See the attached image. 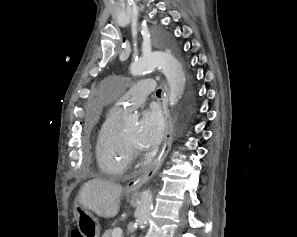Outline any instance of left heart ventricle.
<instances>
[{
	"label": "left heart ventricle",
	"mask_w": 297,
	"mask_h": 237,
	"mask_svg": "<svg viewBox=\"0 0 297 237\" xmlns=\"http://www.w3.org/2000/svg\"><path fill=\"white\" fill-rule=\"evenodd\" d=\"M121 134L133 145L139 147L138 145V126L133 125L124 131L121 132Z\"/></svg>",
	"instance_id": "1"
}]
</instances>
